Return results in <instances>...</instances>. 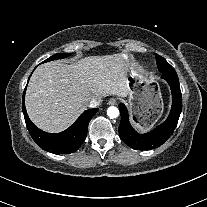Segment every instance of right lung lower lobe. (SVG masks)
Instances as JSON below:
<instances>
[{
    "mask_svg": "<svg viewBox=\"0 0 207 207\" xmlns=\"http://www.w3.org/2000/svg\"><path fill=\"white\" fill-rule=\"evenodd\" d=\"M25 90L22 102L23 114L29 133L37 145L44 150L56 154H66L77 151L86 138L89 121L95 115L98 108L83 112L72 126L61 133H46L37 128L27 115L24 104Z\"/></svg>",
    "mask_w": 207,
    "mask_h": 207,
    "instance_id": "98d812e1",
    "label": "right lung lower lobe"
}]
</instances>
